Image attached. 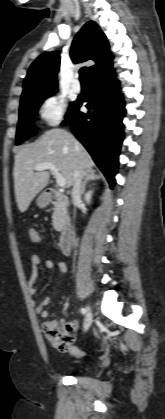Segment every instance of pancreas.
Here are the masks:
<instances>
[{"mask_svg": "<svg viewBox=\"0 0 165 419\" xmlns=\"http://www.w3.org/2000/svg\"><path fill=\"white\" fill-rule=\"evenodd\" d=\"M65 214L63 213V207L58 206L54 209L52 215V224L56 231H60L64 224Z\"/></svg>", "mask_w": 165, "mask_h": 419, "instance_id": "obj_1", "label": "pancreas"}]
</instances>
